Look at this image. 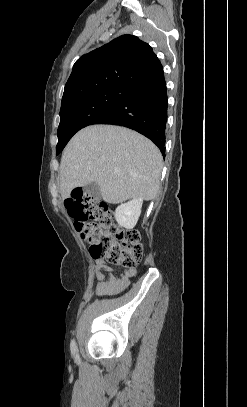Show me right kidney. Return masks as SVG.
<instances>
[{"label": "right kidney", "mask_w": 247, "mask_h": 407, "mask_svg": "<svg viewBox=\"0 0 247 407\" xmlns=\"http://www.w3.org/2000/svg\"><path fill=\"white\" fill-rule=\"evenodd\" d=\"M142 204L143 198H134L118 206L115 211V219L118 224L126 229H132L139 219Z\"/></svg>", "instance_id": "right-kidney-1"}]
</instances>
